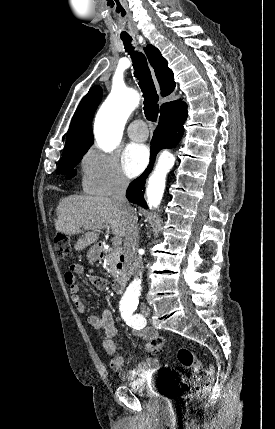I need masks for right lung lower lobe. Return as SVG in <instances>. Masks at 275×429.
Here are the masks:
<instances>
[{
  "instance_id": "obj_1",
  "label": "right lung lower lobe",
  "mask_w": 275,
  "mask_h": 429,
  "mask_svg": "<svg viewBox=\"0 0 275 429\" xmlns=\"http://www.w3.org/2000/svg\"><path fill=\"white\" fill-rule=\"evenodd\" d=\"M187 114L186 104L180 102L172 112L160 118L151 143L149 166L140 177L130 183L127 189L126 197L130 202L147 208L143 196L145 193V179L152 169L157 153L161 149L173 148L180 142L184 133L183 124Z\"/></svg>"
}]
</instances>
